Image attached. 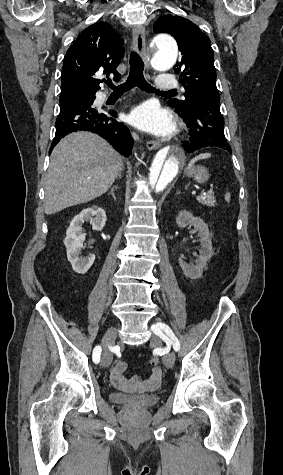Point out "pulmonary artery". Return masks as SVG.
<instances>
[{
    "instance_id": "pulmonary-artery-1",
    "label": "pulmonary artery",
    "mask_w": 283,
    "mask_h": 475,
    "mask_svg": "<svg viewBox=\"0 0 283 475\" xmlns=\"http://www.w3.org/2000/svg\"><path fill=\"white\" fill-rule=\"evenodd\" d=\"M154 87L155 89H175L176 81L175 80H155Z\"/></svg>"
}]
</instances>
